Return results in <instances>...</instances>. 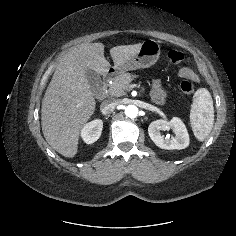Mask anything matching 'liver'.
<instances>
[{
  "label": "liver",
  "mask_w": 236,
  "mask_h": 236,
  "mask_svg": "<svg viewBox=\"0 0 236 236\" xmlns=\"http://www.w3.org/2000/svg\"><path fill=\"white\" fill-rule=\"evenodd\" d=\"M141 44L111 48L114 67L129 61ZM109 67L102 43L71 47L60 59L42 99L41 125L46 141L61 155L73 158L77 154L81 130L95 111L86 69L103 75Z\"/></svg>",
  "instance_id": "6515ba94"
}]
</instances>
